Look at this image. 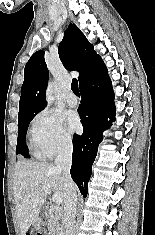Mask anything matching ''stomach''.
Segmentation results:
<instances>
[{
    "label": "stomach",
    "mask_w": 155,
    "mask_h": 235,
    "mask_svg": "<svg viewBox=\"0 0 155 235\" xmlns=\"http://www.w3.org/2000/svg\"><path fill=\"white\" fill-rule=\"evenodd\" d=\"M43 224V221L41 218H37L35 223H34V226L35 227H40V225Z\"/></svg>",
    "instance_id": "obj_1"
}]
</instances>
